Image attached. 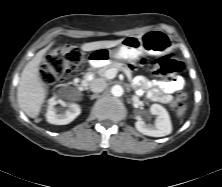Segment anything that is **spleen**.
Masks as SVG:
<instances>
[{
    "label": "spleen",
    "instance_id": "spleen-1",
    "mask_svg": "<svg viewBox=\"0 0 222 187\" xmlns=\"http://www.w3.org/2000/svg\"><path fill=\"white\" fill-rule=\"evenodd\" d=\"M185 110H186V106H182L181 108H179L177 111V117H179V118L182 117Z\"/></svg>",
    "mask_w": 222,
    "mask_h": 187
}]
</instances>
